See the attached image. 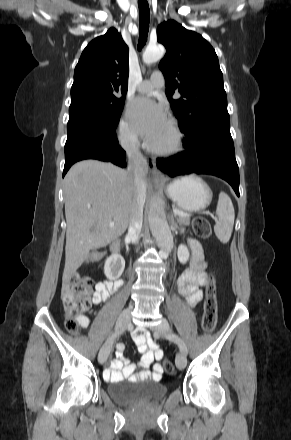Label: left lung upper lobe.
Segmentation results:
<instances>
[{
	"label": "left lung upper lobe",
	"mask_w": 291,
	"mask_h": 440,
	"mask_svg": "<svg viewBox=\"0 0 291 440\" xmlns=\"http://www.w3.org/2000/svg\"><path fill=\"white\" fill-rule=\"evenodd\" d=\"M157 40L167 50L159 67L180 130L188 136L207 123L229 120L223 75L209 42L174 20L158 26ZM177 91L181 98L173 100Z\"/></svg>",
	"instance_id": "1"
}]
</instances>
